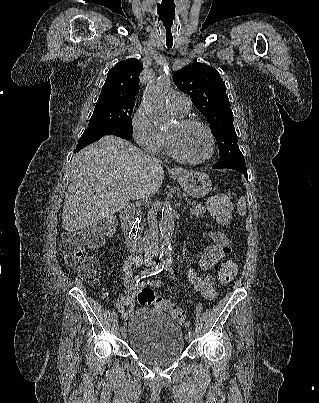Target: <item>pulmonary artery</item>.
Wrapping results in <instances>:
<instances>
[{
    "instance_id": "obj_1",
    "label": "pulmonary artery",
    "mask_w": 319,
    "mask_h": 403,
    "mask_svg": "<svg viewBox=\"0 0 319 403\" xmlns=\"http://www.w3.org/2000/svg\"><path fill=\"white\" fill-rule=\"evenodd\" d=\"M190 99L181 93H173L170 96L169 106L178 115L187 113L190 109Z\"/></svg>"
}]
</instances>
